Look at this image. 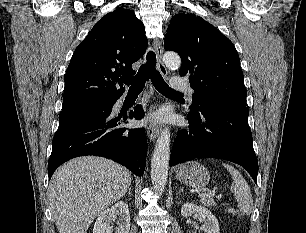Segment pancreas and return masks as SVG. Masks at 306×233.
<instances>
[{
	"label": "pancreas",
	"mask_w": 306,
	"mask_h": 233,
	"mask_svg": "<svg viewBox=\"0 0 306 233\" xmlns=\"http://www.w3.org/2000/svg\"><path fill=\"white\" fill-rule=\"evenodd\" d=\"M201 203L205 206L210 207V208L216 206V202L212 198L203 197V198H201Z\"/></svg>",
	"instance_id": "obj_1"
}]
</instances>
